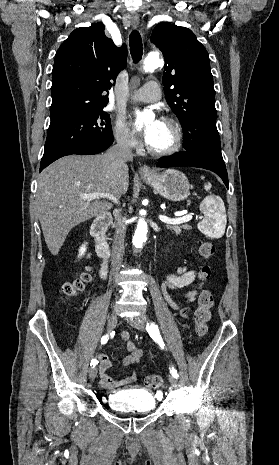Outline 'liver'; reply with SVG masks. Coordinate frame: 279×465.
Returning a JSON list of instances; mask_svg holds the SVG:
<instances>
[{
  "label": "liver",
  "mask_w": 279,
  "mask_h": 465,
  "mask_svg": "<svg viewBox=\"0 0 279 465\" xmlns=\"http://www.w3.org/2000/svg\"><path fill=\"white\" fill-rule=\"evenodd\" d=\"M129 169L111 166L106 154L64 156L38 177L36 210L47 247L57 255L70 230L111 207L103 199L87 201L82 194H125Z\"/></svg>",
  "instance_id": "liver-1"
}]
</instances>
